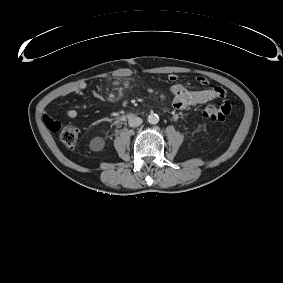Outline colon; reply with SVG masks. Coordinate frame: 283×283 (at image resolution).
I'll list each match as a JSON object with an SVG mask.
<instances>
[{
  "mask_svg": "<svg viewBox=\"0 0 283 283\" xmlns=\"http://www.w3.org/2000/svg\"><path fill=\"white\" fill-rule=\"evenodd\" d=\"M231 111V105L229 102H224L221 106L207 105L203 110V115L210 121L222 122L226 119ZM46 124V117H44ZM57 122V121H56ZM48 127V125L46 124ZM49 128V127H48ZM53 132L59 131V137L61 142L67 147H74L77 144L79 130L75 126H61L59 122L56 124V128H49Z\"/></svg>",
  "mask_w": 283,
  "mask_h": 283,
  "instance_id": "5ec220e1",
  "label": "colon"
}]
</instances>
